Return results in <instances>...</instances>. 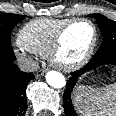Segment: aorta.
<instances>
[{
	"mask_svg": "<svg viewBox=\"0 0 116 116\" xmlns=\"http://www.w3.org/2000/svg\"><path fill=\"white\" fill-rule=\"evenodd\" d=\"M47 83L54 88H63L66 84L65 77L63 74L56 71H49L46 74Z\"/></svg>",
	"mask_w": 116,
	"mask_h": 116,
	"instance_id": "1",
	"label": "aorta"
}]
</instances>
